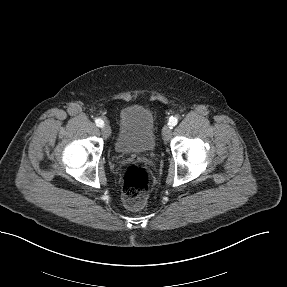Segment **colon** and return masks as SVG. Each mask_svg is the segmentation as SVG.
<instances>
[{
  "mask_svg": "<svg viewBox=\"0 0 287 287\" xmlns=\"http://www.w3.org/2000/svg\"><path fill=\"white\" fill-rule=\"evenodd\" d=\"M150 177L148 171L140 165L128 166L122 179V196L125 206L132 210L142 208L148 197Z\"/></svg>",
  "mask_w": 287,
  "mask_h": 287,
  "instance_id": "1",
  "label": "colon"
}]
</instances>
